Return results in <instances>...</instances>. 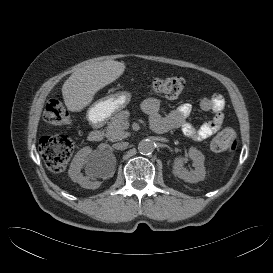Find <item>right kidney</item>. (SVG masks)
<instances>
[{"label": "right kidney", "instance_id": "1", "mask_svg": "<svg viewBox=\"0 0 273 273\" xmlns=\"http://www.w3.org/2000/svg\"><path fill=\"white\" fill-rule=\"evenodd\" d=\"M92 150L88 147L81 149L73 158L68 174L72 181L77 182L83 188L95 189L99 185L97 183H91L86 177L81 173L82 167L87 165V172L89 175H96L99 177H104L110 174L111 166L105 164L99 159H95L91 155ZM89 156L88 161L86 158Z\"/></svg>", "mask_w": 273, "mask_h": 273}]
</instances>
